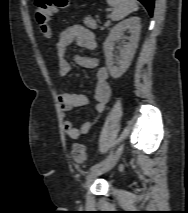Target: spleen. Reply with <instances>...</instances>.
I'll return each mask as SVG.
<instances>
[{"label":"spleen","mask_w":188,"mask_h":213,"mask_svg":"<svg viewBox=\"0 0 188 213\" xmlns=\"http://www.w3.org/2000/svg\"><path fill=\"white\" fill-rule=\"evenodd\" d=\"M107 3L114 7V11L110 16L113 21H119L138 10L136 0H107Z\"/></svg>","instance_id":"3e777b00"}]
</instances>
